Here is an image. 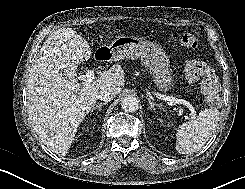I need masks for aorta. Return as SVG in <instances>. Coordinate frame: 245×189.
<instances>
[{
	"instance_id": "762f6f07",
	"label": "aorta",
	"mask_w": 245,
	"mask_h": 189,
	"mask_svg": "<svg viewBox=\"0 0 245 189\" xmlns=\"http://www.w3.org/2000/svg\"><path fill=\"white\" fill-rule=\"evenodd\" d=\"M121 107L126 112H135L139 108V101L132 96L124 97L121 101Z\"/></svg>"
}]
</instances>
